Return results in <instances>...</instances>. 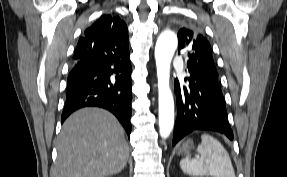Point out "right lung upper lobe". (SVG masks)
<instances>
[{"label":"right lung upper lobe","mask_w":287,"mask_h":177,"mask_svg":"<svg viewBox=\"0 0 287 177\" xmlns=\"http://www.w3.org/2000/svg\"><path fill=\"white\" fill-rule=\"evenodd\" d=\"M128 36V29L124 21L118 16L103 15L91 27L85 30L79 39L74 52V61L83 58L88 50V43L98 40H112Z\"/></svg>","instance_id":"obj_1"}]
</instances>
